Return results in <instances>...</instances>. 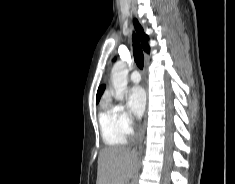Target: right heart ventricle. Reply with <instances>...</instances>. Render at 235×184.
I'll return each mask as SVG.
<instances>
[{
  "label": "right heart ventricle",
  "mask_w": 235,
  "mask_h": 184,
  "mask_svg": "<svg viewBox=\"0 0 235 184\" xmlns=\"http://www.w3.org/2000/svg\"><path fill=\"white\" fill-rule=\"evenodd\" d=\"M102 139L107 148L101 153L103 161L113 158L127 143V136L120 129L114 107L103 105L98 113Z\"/></svg>",
  "instance_id": "right-heart-ventricle-1"
}]
</instances>
